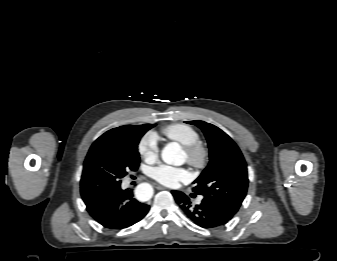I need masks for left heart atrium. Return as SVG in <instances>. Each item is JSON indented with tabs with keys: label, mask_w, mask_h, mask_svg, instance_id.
<instances>
[{
	"label": "left heart atrium",
	"mask_w": 337,
	"mask_h": 261,
	"mask_svg": "<svg viewBox=\"0 0 337 261\" xmlns=\"http://www.w3.org/2000/svg\"><path fill=\"white\" fill-rule=\"evenodd\" d=\"M150 176L157 182L174 187L179 182H187L190 179L189 172L181 167H173L165 164L153 167Z\"/></svg>",
	"instance_id": "1"
}]
</instances>
